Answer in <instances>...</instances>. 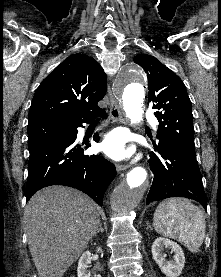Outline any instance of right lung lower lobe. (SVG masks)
Here are the masks:
<instances>
[{
    "instance_id": "right-lung-lower-lobe-1",
    "label": "right lung lower lobe",
    "mask_w": 221,
    "mask_h": 277,
    "mask_svg": "<svg viewBox=\"0 0 221 277\" xmlns=\"http://www.w3.org/2000/svg\"><path fill=\"white\" fill-rule=\"evenodd\" d=\"M97 115L107 116L100 110L88 118L61 121L60 135L30 150L26 201L41 188L65 185L85 192L102 206L105 191L116 176V168L100 155H83L82 145L76 142L77 128L90 123ZM93 139L98 142V134ZM90 146L86 143L87 148Z\"/></svg>"
}]
</instances>
